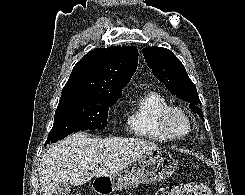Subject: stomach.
Listing matches in <instances>:
<instances>
[{"label": "stomach", "instance_id": "1", "mask_svg": "<svg viewBox=\"0 0 245 195\" xmlns=\"http://www.w3.org/2000/svg\"><path fill=\"white\" fill-rule=\"evenodd\" d=\"M178 163L171 152L155 150L144 153L135 162L107 177L109 188L120 191L139 184L162 182L173 175Z\"/></svg>", "mask_w": 245, "mask_h": 195}]
</instances>
